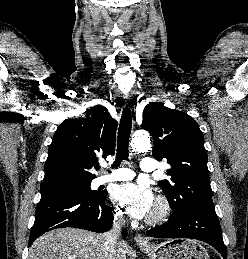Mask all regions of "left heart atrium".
<instances>
[{"label": "left heart atrium", "instance_id": "left-heart-atrium-1", "mask_svg": "<svg viewBox=\"0 0 248 259\" xmlns=\"http://www.w3.org/2000/svg\"><path fill=\"white\" fill-rule=\"evenodd\" d=\"M111 197L135 218L148 216L155 203L151 190L145 185L135 183L115 186Z\"/></svg>", "mask_w": 248, "mask_h": 259}]
</instances>
